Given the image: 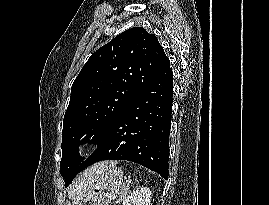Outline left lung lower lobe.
I'll use <instances>...</instances> for the list:
<instances>
[{"mask_svg":"<svg viewBox=\"0 0 269 205\" xmlns=\"http://www.w3.org/2000/svg\"><path fill=\"white\" fill-rule=\"evenodd\" d=\"M173 72L168 60L147 88L110 125L97 150L84 160L75 176L102 160H128L168 179Z\"/></svg>","mask_w":269,"mask_h":205,"instance_id":"obj_1","label":"left lung lower lobe"}]
</instances>
